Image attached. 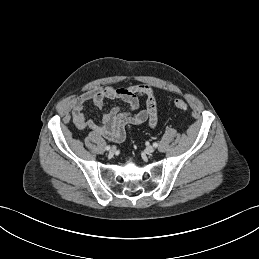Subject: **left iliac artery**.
<instances>
[{"instance_id": "obj_1", "label": "left iliac artery", "mask_w": 259, "mask_h": 259, "mask_svg": "<svg viewBox=\"0 0 259 259\" xmlns=\"http://www.w3.org/2000/svg\"><path fill=\"white\" fill-rule=\"evenodd\" d=\"M153 146H154V147H157V146H158V143H156V142L153 143Z\"/></svg>"}]
</instances>
